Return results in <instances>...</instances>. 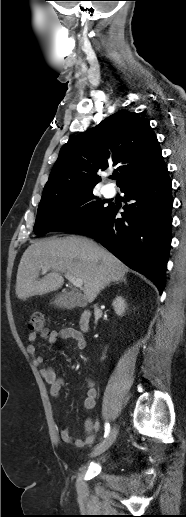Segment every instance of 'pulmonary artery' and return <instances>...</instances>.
Segmentation results:
<instances>
[{"label": "pulmonary artery", "instance_id": "obj_1", "mask_svg": "<svg viewBox=\"0 0 186 517\" xmlns=\"http://www.w3.org/2000/svg\"><path fill=\"white\" fill-rule=\"evenodd\" d=\"M103 193H104L105 196L110 197V196H112L114 194V191L109 186H105L103 188Z\"/></svg>", "mask_w": 186, "mask_h": 517}]
</instances>
